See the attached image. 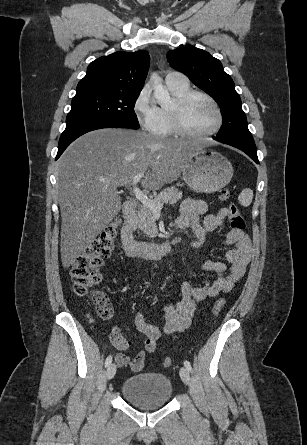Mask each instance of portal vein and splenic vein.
Listing matches in <instances>:
<instances>
[{
	"label": "portal vein and splenic vein",
	"instance_id": "1",
	"mask_svg": "<svg viewBox=\"0 0 307 445\" xmlns=\"http://www.w3.org/2000/svg\"><path fill=\"white\" fill-rule=\"evenodd\" d=\"M142 176H144V172H138V174H135L131 184H132V190L136 196V198H138V200H140V202H142V204H145V206H150L151 210H153L154 214H160L161 212V208H163V204H155L154 200H151V198H148V194H145V192H143V190H141V188H138L137 186V182H139L140 178H142Z\"/></svg>",
	"mask_w": 307,
	"mask_h": 445
}]
</instances>
